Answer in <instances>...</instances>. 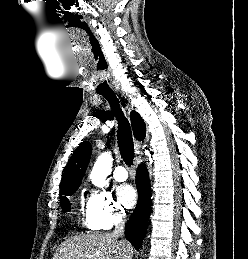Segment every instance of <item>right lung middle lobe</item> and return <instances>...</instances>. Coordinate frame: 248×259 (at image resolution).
Wrapping results in <instances>:
<instances>
[{"label":"right lung middle lobe","mask_w":248,"mask_h":259,"mask_svg":"<svg viewBox=\"0 0 248 259\" xmlns=\"http://www.w3.org/2000/svg\"><path fill=\"white\" fill-rule=\"evenodd\" d=\"M76 190L77 189H72V190H68V191H65L64 193H62V195H65V196L60 197V204H61V208H62L63 212L70 211V203L66 196H71L72 194L75 193Z\"/></svg>","instance_id":"right-lung-middle-lobe-1"}]
</instances>
